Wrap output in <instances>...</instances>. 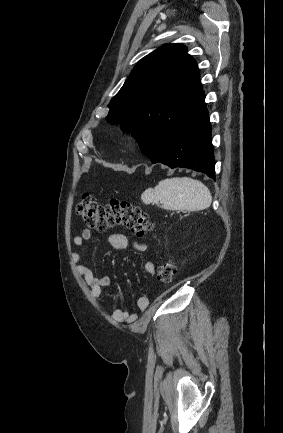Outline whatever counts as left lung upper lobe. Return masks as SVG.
Wrapping results in <instances>:
<instances>
[{
    "label": "left lung upper lobe",
    "instance_id": "left-lung-upper-lobe-1",
    "mask_svg": "<svg viewBox=\"0 0 283 433\" xmlns=\"http://www.w3.org/2000/svg\"><path fill=\"white\" fill-rule=\"evenodd\" d=\"M199 76L197 63L185 46L166 44L135 66L108 105L106 120L121 124L141 146L154 126L176 124L202 110Z\"/></svg>",
    "mask_w": 283,
    "mask_h": 433
}]
</instances>
